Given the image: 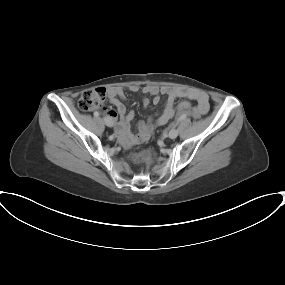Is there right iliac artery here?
<instances>
[{"label":"right iliac artery","mask_w":285,"mask_h":285,"mask_svg":"<svg viewBox=\"0 0 285 285\" xmlns=\"http://www.w3.org/2000/svg\"><path fill=\"white\" fill-rule=\"evenodd\" d=\"M95 115H97V116H98V112H96V113H95ZM105 118H106V117H105Z\"/></svg>","instance_id":"82829eb1"}]
</instances>
